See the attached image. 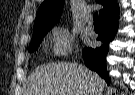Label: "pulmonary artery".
I'll return each mask as SVG.
<instances>
[{
  "instance_id": "pulmonary-artery-1",
  "label": "pulmonary artery",
  "mask_w": 135,
  "mask_h": 95,
  "mask_svg": "<svg viewBox=\"0 0 135 95\" xmlns=\"http://www.w3.org/2000/svg\"><path fill=\"white\" fill-rule=\"evenodd\" d=\"M85 30L89 34H93V32H94V28H93V26L90 23L86 26Z\"/></svg>"
}]
</instances>
